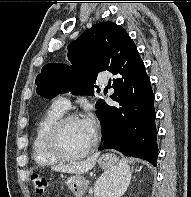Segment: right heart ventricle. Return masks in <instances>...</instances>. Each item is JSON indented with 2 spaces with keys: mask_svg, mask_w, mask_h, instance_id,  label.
<instances>
[{
  "mask_svg": "<svg viewBox=\"0 0 191 197\" xmlns=\"http://www.w3.org/2000/svg\"><path fill=\"white\" fill-rule=\"evenodd\" d=\"M64 111L55 104L51 105L42 115L36 125L32 141V155L35 163L39 166L55 165L58 159L49 154L45 146V135L48 128L63 115Z\"/></svg>",
  "mask_w": 191,
  "mask_h": 197,
  "instance_id": "right-heart-ventricle-1",
  "label": "right heart ventricle"
}]
</instances>
